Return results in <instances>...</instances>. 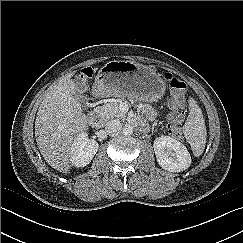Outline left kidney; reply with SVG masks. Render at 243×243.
Returning <instances> with one entry per match:
<instances>
[{
  "instance_id": "1",
  "label": "left kidney",
  "mask_w": 243,
  "mask_h": 243,
  "mask_svg": "<svg viewBox=\"0 0 243 243\" xmlns=\"http://www.w3.org/2000/svg\"><path fill=\"white\" fill-rule=\"evenodd\" d=\"M153 147L158 164L167 171L181 172L191 164L187 148L170 136L156 138Z\"/></svg>"
}]
</instances>
